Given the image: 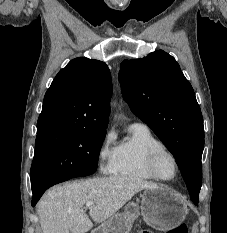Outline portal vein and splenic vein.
Segmentation results:
<instances>
[{"mask_svg":"<svg viewBox=\"0 0 227 233\" xmlns=\"http://www.w3.org/2000/svg\"><path fill=\"white\" fill-rule=\"evenodd\" d=\"M94 203L92 202V201H88V202H86V207H91L92 205H93Z\"/></svg>","mask_w":227,"mask_h":233,"instance_id":"1","label":"portal vein and splenic vein"}]
</instances>
